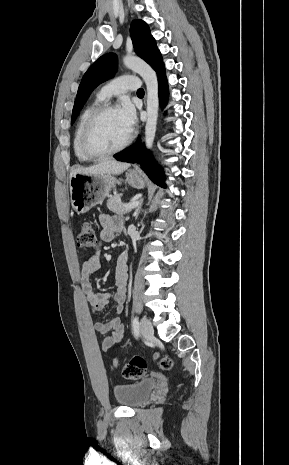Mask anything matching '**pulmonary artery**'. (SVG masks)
Masks as SVG:
<instances>
[{"mask_svg":"<svg viewBox=\"0 0 289 465\" xmlns=\"http://www.w3.org/2000/svg\"><path fill=\"white\" fill-rule=\"evenodd\" d=\"M139 88L140 80L138 77L133 75H122L105 84L99 93V98L103 100L129 90L136 91Z\"/></svg>","mask_w":289,"mask_h":465,"instance_id":"1","label":"pulmonary artery"}]
</instances>
